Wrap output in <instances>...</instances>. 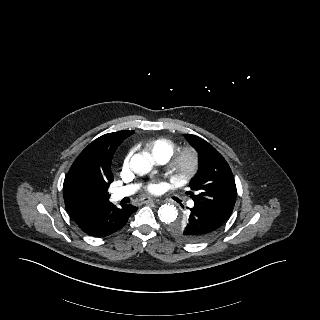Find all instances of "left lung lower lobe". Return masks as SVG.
I'll use <instances>...</instances> for the list:
<instances>
[{"mask_svg":"<svg viewBox=\"0 0 320 320\" xmlns=\"http://www.w3.org/2000/svg\"><path fill=\"white\" fill-rule=\"evenodd\" d=\"M185 221L188 233L197 238L198 241L210 237L225 222V220L195 204L193 208H190V214Z\"/></svg>","mask_w":320,"mask_h":320,"instance_id":"0a47b994","label":"left lung lower lobe"}]
</instances>
